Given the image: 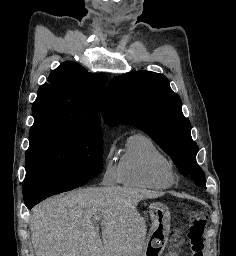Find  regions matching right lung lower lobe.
Wrapping results in <instances>:
<instances>
[{
	"mask_svg": "<svg viewBox=\"0 0 236 256\" xmlns=\"http://www.w3.org/2000/svg\"><path fill=\"white\" fill-rule=\"evenodd\" d=\"M89 179H79L67 184L59 185V186H54V187H49L46 189H43L39 192H36L26 198H24V203L28 209H31L34 205L39 203L40 201L44 200L47 197H50L52 195L62 193L65 191H69L72 189H75L77 187H80L84 185Z\"/></svg>",
	"mask_w": 236,
	"mask_h": 256,
	"instance_id": "right-lung-lower-lobe-1",
	"label": "right lung lower lobe"
}]
</instances>
